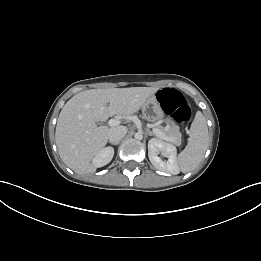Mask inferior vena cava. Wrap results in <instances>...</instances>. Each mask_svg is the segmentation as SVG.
I'll return each mask as SVG.
<instances>
[{"label":"inferior vena cava","instance_id":"1","mask_svg":"<svg viewBox=\"0 0 261 261\" xmlns=\"http://www.w3.org/2000/svg\"><path fill=\"white\" fill-rule=\"evenodd\" d=\"M126 133L127 128L125 126L112 127L108 131V139L111 143H119Z\"/></svg>","mask_w":261,"mask_h":261}]
</instances>
